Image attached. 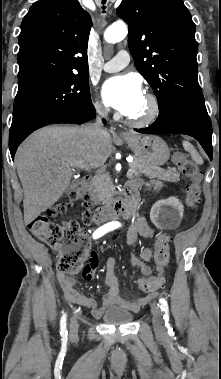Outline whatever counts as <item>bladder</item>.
<instances>
[{"mask_svg":"<svg viewBox=\"0 0 221 379\" xmlns=\"http://www.w3.org/2000/svg\"><path fill=\"white\" fill-rule=\"evenodd\" d=\"M133 318L134 316L131 312L119 307L107 309L102 316V320L105 323L112 325L128 324L133 321Z\"/></svg>","mask_w":221,"mask_h":379,"instance_id":"1","label":"bladder"}]
</instances>
